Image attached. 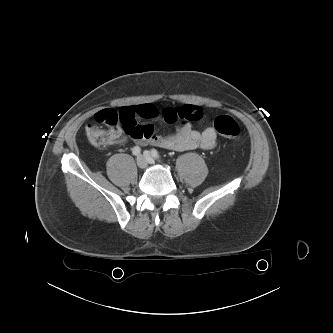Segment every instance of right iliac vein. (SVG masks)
Segmentation results:
<instances>
[{"label": "right iliac vein", "mask_w": 333, "mask_h": 333, "mask_svg": "<svg viewBox=\"0 0 333 333\" xmlns=\"http://www.w3.org/2000/svg\"><path fill=\"white\" fill-rule=\"evenodd\" d=\"M137 166L144 169L147 166V159L144 155H139L136 159Z\"/></svg>", "instance_id": "1"}]
</instances>
